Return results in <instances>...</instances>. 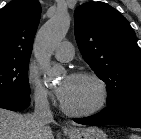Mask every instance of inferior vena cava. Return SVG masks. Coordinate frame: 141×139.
I'll list each match as a JSON object with an SVG mask.
<instances>
[{"label": "inferior vena cava", "mask_w": 141, "mask_h": 139, "mask_svg": "<svg viewBox=\"0 0 141 139\" xmlns=\"http://www.w3.org/2000/svg\"><path fill=\"white\" fill-rule=\"evenodd\" d=\"M33 118L39 130L45 129L46 126L53 121L49 102L46 94L44 93L35 94V110Z\"/></svg>", "instance_id": "inferior-vena-cava-1"}]
</instances>
